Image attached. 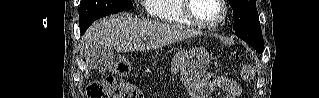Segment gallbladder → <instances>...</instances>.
I'll return each instance as SVG.
<instances>
[{
  "instance_id": "bac80fb5",
  "label": "gallbladder",
  "mask_w": 319,
  "mask_h": 98,
  "mask_svg": "<svg viewBox=\"0 0 319 98\" xmlns=\"http://www.w3.org/2000/svg\"><path fill=\"white\" fill-rule=\"evenodd\" d=\"M93 68L99 72L110 69L114 56L110 49H98L91 57Z\"/></svg>"
}]
</instances>
